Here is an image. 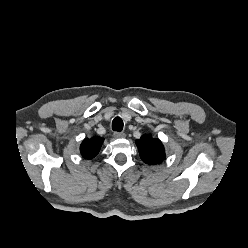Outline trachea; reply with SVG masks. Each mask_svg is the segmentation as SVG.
<instances>
[{
  "label": "trachea",
  "instance_id": "1",
  "mask_svg": "<svg viewBox=\"0 0 248 248\" xmlns=\"http://www.w3.org/2000/svg\"><path fill=\"white\" fill-rule=\"evenodd\" d=\"M112 129L114 131L120 132L123 129V121L120 117L114 118L112 121Z\"/></svg>",
  "mask_w": 248,
  "mask_h": 248
}]
</instances>
